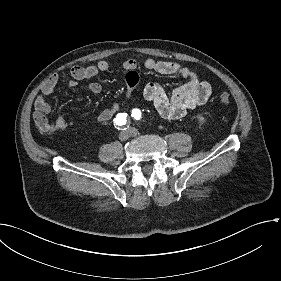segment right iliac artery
Listing matches in <instances>:
<instances>
[{"label": "right iliac artery", "instance_id": "obj_1", "mask_svg": "<svg viewBox=\"0 0 281 281\" xmlns=\"http://www.w3.org/2000/svg\"><path fill=\"white\" fill-rule=\"evenodd\" d=\"M127 113H119L115 118H114V125L118 130H125L127 129L126 126L129 122Z\"/></svg>", "mask_w": 281, "mask_h": 281}]
</instances>
